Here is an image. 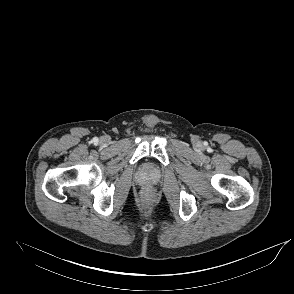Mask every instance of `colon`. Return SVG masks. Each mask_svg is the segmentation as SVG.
Masks as SVG:
<instances>
[{
    "label": "colon",
    "mask_w": 294,
    "mask_h": 294,
    "mask_svg": "<svg viewBox=\"0 0 294 294\" xmlns=\"http://www.w3.org/2000/svg\"><path fill=\"white\" fill-rule=\"evenodd\" d=\"M151 197V192L150 191H146L143 195V198H144V202L147 203L149 201Z\"/></svg>",
    "instance_id": "colon-1"
}]
</instances>
